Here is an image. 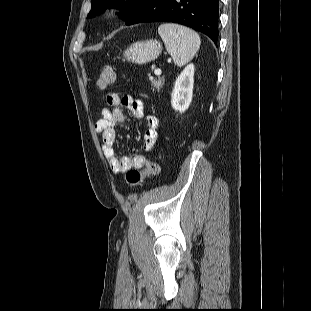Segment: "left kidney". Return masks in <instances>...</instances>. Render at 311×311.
Returning a JSON list of instances; mask_svg holds the SVG:
<instances>
[{
    "mask_svg": "<svg viewBox=\"0 0 311 311\" xmlns=\"http://www.w3.org/2000/svg\"><path fill=\"white\" fill-rule=\"evenodd\" d=\"M194 85V65H187L176 78L171 94V105L180 113L185 112L192 101Z\"/></svg>",
    "mask_w": 311,
    "mask_h": 311,
    "instance_id": "left-kidney-1",
    "label": "left kidney"
}]
</instances>
